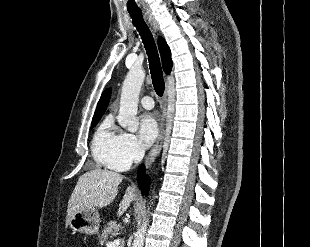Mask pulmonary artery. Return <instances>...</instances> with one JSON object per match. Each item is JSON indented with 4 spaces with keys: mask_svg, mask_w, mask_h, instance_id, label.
I'll use <instances>...</instances> for the list:
<instances>
[{
    "mask_svg": "<svg viewBox=\"0 0 310 247\" xmlns=\"http://www.w3.org/2000/svg\"><path fill=\"white\" fill-rule=\"evenodd\" d=\"M141 105L146 109H152L154 107L153 98L150 96H144L141 99Z\"/></svg>",
    "mask_w": 310,
    "mask_h": 247,
    "instance_id": "e3ab8cb5",
    "label": "pulmonary artery"
}]
</instances>
